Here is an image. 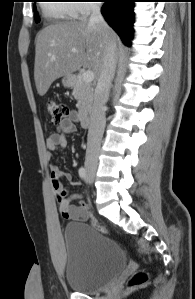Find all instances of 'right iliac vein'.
<instances>
[{
	"instance_id": "1",
	"label": "right iliac vein",
	"mask_w": 195,
	"mask_h": 299,
	"mask_svg": "<svg viewBox=\"0 0 195 299\" xmlns=\"http://www.w3.org/2000/svg\"><path fill=\"white\" fill-rule=\"evenodd\" d=\"M95 166H87V171H88V178L90 181H92L94 179V173H95Z\"/></svg>"
}]
</instances>
